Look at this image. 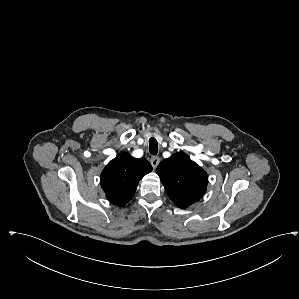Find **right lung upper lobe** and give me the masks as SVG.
I'll use <instances>...</instances> for the list:
<instances>
[{
    "mask_svg": "<svg viewBox=\"0 0 299 299\" xmlns=\"http://www.w3.org/2000/svg\"><path fill=\"white\" fill-rule=\"evenodd\" d=\"M151 171L152 166L145 158L136 159L128 153H121L102 171L101 187L111 203L123 206L135 194L139 180Z\"/></svg>",
    "mask_w": 299,
    "mask_h": 299,
    "instance_id": "obj_1",
    "label": "right lung upper lobe"
}]
</instances>
